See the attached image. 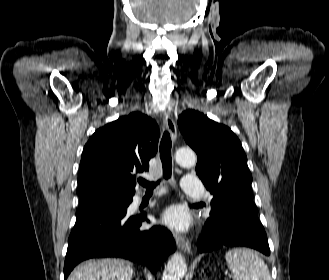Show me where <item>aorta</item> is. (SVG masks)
<instances>
[{
    "instance_id": "762f6f07",
    "label": "aorta",
    "mask_w": 329,
    "mask_h": 280,
    "mask_svg": "<svg viewBox=\"0 0 329 280\" xmlns=\"http://www.w3.org/2000/svg\"><path fill=\"white\" fill-rule=\"evenodd\" d=\"M175 160L179 165L189 167L196 164V155L190 149H179L176 151ZM185 273V259L180 253L176 252L168 260L162 280H182Z\"/></svg>"
}]
</instances>
